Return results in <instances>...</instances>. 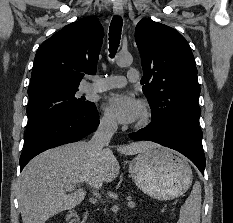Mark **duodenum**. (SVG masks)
Returning <instances> with one entry per match:
<instances>
[{
	"instance_id": "duodenum-1",
	"label": "duodenum",
	"mask_w": 233,
	"mask_h": 223,
	"mask_svg": "<svg viewBox=\"0 0 233 223\" xmlns=\"http://www.w3.org/2000/svg\"><path fill=\"white\" fill-rule=\"evenodd\" d=\"M67 223H80L78 214L74 210H70L66 214Z\"/></svg>"
}]
</instances>
